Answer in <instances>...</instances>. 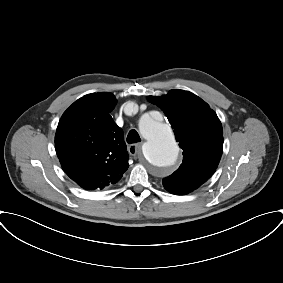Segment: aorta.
<instances>
[{
    "mask_svg": "<svg viewBox=\"0 0 283 283\" xmlns=\"http://www.w3.org/2000/svg\"><path fill=\"white\" fill-rule=\"evenodd\" d=\"M139 130L146 140L142 151L148 163L158 171L171 170L179 153L171 127L158 118L143 116L139 121Z\"/></svg>",
    "mask_w": 283,
    "mask_h": 283,
    "instance_id": "1",
    "label": "aorta"
}]
</instances>
